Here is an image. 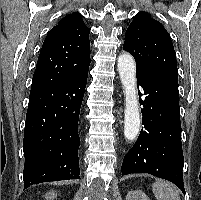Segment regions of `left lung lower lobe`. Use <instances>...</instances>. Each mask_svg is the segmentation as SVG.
I'll use <instances>...</instances> for the list:
<instances>
[{
	"label": "left lung lower lobe",
	"mask_w": 201,
	"mask_h": 200,
	"mask_svg": "<svg viewBox=\"0 0 201 200\" xmlns=\"http://www.w3.org/2000/svg\"><path fill=\"white\" fill-rule=\"evenodd\" d=\"M136 76L142 88L138 94L144 126L124 156L122 174L149 173L171 181L185 194L178 75L137 72Z\"/></svg>",
	"instance_id": "obj_1"
}]
</instances>
